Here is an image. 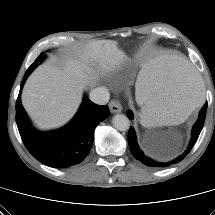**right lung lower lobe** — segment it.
<instances>
[{"mask_svg": "<svg viewBox=\"0 0 215 215\" xmlns=\"http://www.w3.org/2000/svg\"><path fill=\"white\" fill-rule=\"evenodd\" d=\"M33 69L28 68L21 83L16 102V122L22 141L28 151L41 163L53 168H66L83 161L94 140V129L110 115L108 106H99L87 100L75 117L63 128L40 132L35 130L21 104V90Z\"/></svg>", "mask_w": 215, "mask_h": 215, "instance_id": "right-lung-lower-lobe-1", "label": "right lung lower lobe"}]
</instances>
